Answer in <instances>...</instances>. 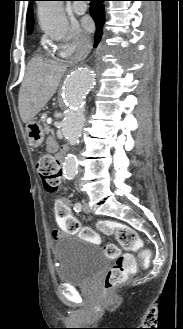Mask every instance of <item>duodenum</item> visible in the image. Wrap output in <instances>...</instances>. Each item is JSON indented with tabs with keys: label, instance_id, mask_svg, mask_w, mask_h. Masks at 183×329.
Here are the masks:
<instances>
[{
	"label": "duodenum",
	"instance_id": "obj_1",
	"mask_svg": "<svg viewBox=\"0 0 183 329\" xmlns=\"http://www.w3.org/2000/svg\"><path fill=\"white\" fill-rule=\"evenodd\" d=\"M59 161L62 163L63 162V150L59 152Z\"/></svg>",
	"mask_w": 183,
	"mask_h": 329
}]
</instances>
